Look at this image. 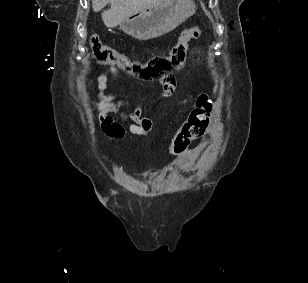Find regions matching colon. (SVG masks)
Segmentation results:
<instances>
[{
    "label": "colon",
    "mask_w": 308,
    "mask_h": 283,
    "mask_svg": "<svg viewBox=\"0 0 308 283\" xmlns=\"http://www.w3.org/2000/svg\"><path fill=\"white\" fill-rule=\"evenodd\" d=\"M202 36L198 27L184 29L171 49L162 55H157L145 62L134 61L113 48L104 45L98 36H90L89 43L94 56L101 62L113 65L126 73L148 81H160L163 86H175L173 71L182 67L185 62L188 45L191 40ZM213 103L208 95L201 94L187 119H185L172 137L170 154L182 156L189 145L201 137L209 124Z\"/></svg>",
    "instance_id": "obj_1"
}]
</instances>
